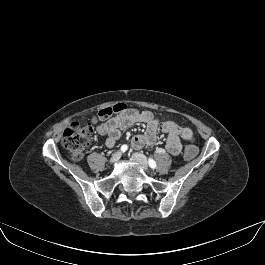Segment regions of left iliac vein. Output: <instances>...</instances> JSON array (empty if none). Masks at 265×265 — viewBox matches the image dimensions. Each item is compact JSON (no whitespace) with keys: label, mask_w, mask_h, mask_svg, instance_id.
<instances>
[{"label":"left iliac vein","mask_w":265,"mask_h":265,"mask_svg":"<svg viewBox=\"0 0 265 265\" xmlns=\"http://www.w3.org/2000/svg\"><path fill=\"white\" fill-rule=\"evenodd\" d=\"M132 157L142 167L143 170L150 172L145 155H143L142 153H134Z\"/></svg>","instance_id":"4c4485c4"}]
</instances>
